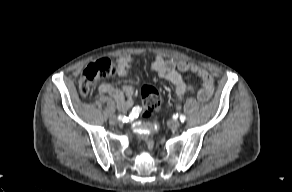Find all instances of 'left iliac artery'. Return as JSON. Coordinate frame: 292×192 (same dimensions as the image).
Masks as SVG:
<instances>
[{"label":"left iliac artery","instance_id":"obj_1","mask_svg":"<svg viewBox=\"0 0 292 192\" xmlns=\"http://www.w3.org/2000/svg\"><path fill=\"white\" fill-rule=\"evenodd\" d=\"M186 120V117L184 115H180V121L184 122Z\"/></svg>","mask_w":292,"mask_h":192}]
</instances>
